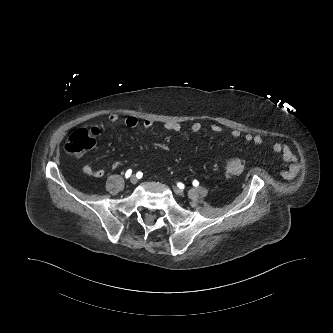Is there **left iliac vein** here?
I'll list each match as a JSON object with an SVG mask.
<instances>
[{
  "instance_id": "1",
  "label": "left iliac vein",
  "mask_w": 333,
  "mask_h": 333,
  "mask_svg": "<svg viewBox=\"0 0 333 333\" xmlns=\"http://www.w3.org/2000/svg\"><path fill=\"white\" fill-rule=\"evenodd\" d=\"M173 190H174L175 194H177L179 196L184 194V191L178 187H173Z\"/></svg>"
}]
</instances>
